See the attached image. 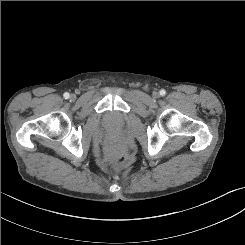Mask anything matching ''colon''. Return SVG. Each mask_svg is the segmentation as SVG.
Masks as SVG:
<instances>
[{
	"label": "colon",
	"mask_w": 245,
	"mask_h": 245,
	"mask_svg": "<svg viewBox=\"0 0 245 245\" xmlns=\"http://www.w3.org/2000/svg\"><path fill=\"white\" fill-rule=\"evenodd\" d=\"M126 157V151L119 142L113 141L108 145L107 160L112 166L117 169L122 168L126 162Z\"/></svg>",
	"instance_id": "1"
}]
</instances>
